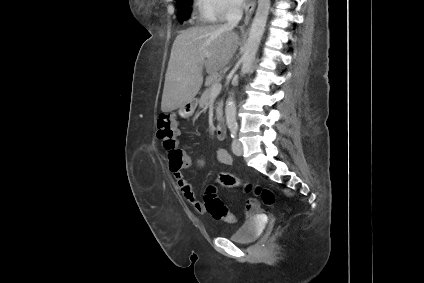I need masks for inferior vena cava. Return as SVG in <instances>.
Instances as JSON below:
<instances>
[{"label": "inferior vena cava", "mask_w": 424, "mask_h": 283, "mask_svg": "<svg viewBox=\"0 0 424 283\" xmlns=\"http://www.w3.org/2000/svg\"><path fill=\"white\" fill-rule=\"evenodd\" d=\"M243 14V2L242 0H232L226 11V26L234 27L241 20Z\"/></svg>", "instance_id": "inferior-vena-cava-1"}]
</instances>
